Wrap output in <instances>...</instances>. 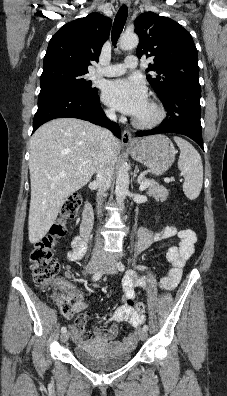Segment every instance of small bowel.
Instances as JSON below:
<instances>
[{"label":"small bowel","mask_w":227,"mask_h":396,"mask_svg":"<svg viewBox=\"0 0 227 396\" xmlns=\"http://www.w3.org/2000/svg\"><path fill=\"white\" fill-rule=\"evenodd\" d=\"M172 237H178L179 243L177 246L170 247L166 253V258L171 268L161 279L160 283L162 289L168 290L173 289L178 284L182 276L183 267L193 255L196 242L194 231L190 229L178 230L174 226H165L158 231H150L142 227L138 231V241L136 244V249L143 251L155 242L164 241ZM85 253L86 244L81 238H75L72 242V249L68 252L67 257L70 261H78L83 258ZM61 285L68 296L74 301L72 315L84 312L88 306L83 293L67 282H62ZM135 297L134 280L130 276L123 282L122 304L111 315V326L104 329L95 328L91 332L85 328L89 314H81L77 317L76 324L73 327L74 340L79 344L96 343L105 345L114 351L132 348L136 341L135 333H130L121 341L117 340L116 337L118 334V322H127L137 328L145 321L144 314L137 312L131 304V302L135 301Z\"/></svg>","instance_id":"small-bowel-1"}]
</instances>
